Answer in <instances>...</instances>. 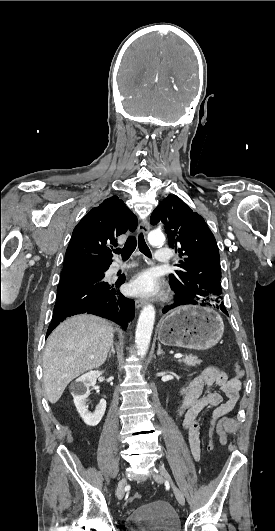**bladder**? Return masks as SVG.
I'll return each instance as SVG.
<instances>
[{
  "mask_svg": "<svg viewBox=\"0 0 275 531\" xmlns=\"http://www.w3.org/2000/svg\"><path fill=\"white\" fill-rule=\"evenodd\" d=\"M127 527L134 531H181V522L171 504L154 501L135 507Z\"/></svg>",
  "mask_w": 275,
  "mask_h": 531,
  "instance_id": "1",
  "label": "bladder"
}]
</instances>
